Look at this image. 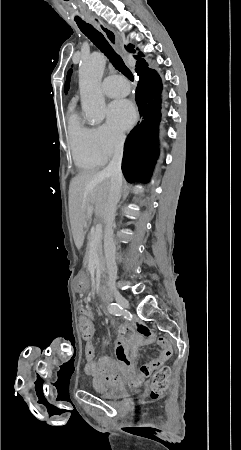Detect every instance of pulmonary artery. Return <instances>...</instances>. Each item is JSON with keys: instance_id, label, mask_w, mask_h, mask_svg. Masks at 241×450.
<instances>
[{"instance_id": "obj_1", "label": "pulmonary artery", "mask_w": 241, "mask_h": 450, "mask_svg": "<svg viewBox=\"0 0 241 450\" xmlns=\"http://www.w3.org/2000/svg\"><path fill=\"white\" fill-rule=\"evenodd\" d=\"M131 85L127 78H122L121 74H110L102 83V92L106 102H115L117 97L130 92Z\"/></svg>"}]
</instances>
